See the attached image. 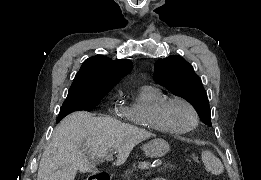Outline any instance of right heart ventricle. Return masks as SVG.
<instances>
[{
    "label": "right heart ventricle",
    "instance_id": "e07e8e85",
    "mask_svg": "<svg viewBox=\"0 0 261 180\" xmlns=\"http://www.w3.org/2000/svg\"><path fill=\"white\" fill-rule=\"evenodd\" d=\"M167 99L165 93L159 88L154 86L141 87L128 104L121 106L122 122H132V127H144V131H152L153 138H164L173 141L183 139L185 134L177 135L164 132L155 117L157 108Z\"/></svg>",
    "mask_w": 261,
    "mask_h": 180
}]
</instances>
